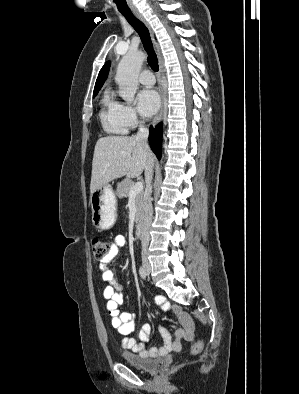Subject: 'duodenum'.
<instances>
[{
	"mask_svg": "<svg viewBox=\"0 0 299 394\" xmlns=\"http://www.w3.org/2000/svg\"><path fill=\"white\" fill-rule=\"evenodd\" d=\"M143 225L142 223H137L136 228H135V235L140 236L142 233Z\"/></svg>",
	"mask_w": 299,
	"mask_h": 394,
	"instance_id": "obj_1",
	"label": "duodenum"
}]
</instances>
